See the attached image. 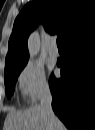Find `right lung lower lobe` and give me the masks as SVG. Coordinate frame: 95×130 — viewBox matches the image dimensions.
Segmentation results:
<instances>
[{
	"label": "right lung lower lobe",
	"instance_id": "1",
	"mask_svg": "<svg viewBox=\"0 0 95 130\" xmlns=\"http://www.w3.org/2000/svg\"><path fill=\"white\" fill-rule=\"evenodd\" d=\"M61 77L49 85L55 114L70 130H89L95 119V27L64 44Z\"/></svg>",
	"mask_w": 95,
	"mask_h": 130
}]
</instances>
